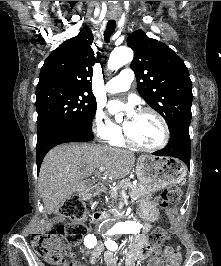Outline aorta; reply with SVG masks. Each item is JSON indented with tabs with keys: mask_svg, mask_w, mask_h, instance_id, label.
I'll list each match as a JSON object with an SVG mask.
<instances>
[{
	"mask_svg": "<svg viewBox=\"0 0 221 266\" xmlns=\"http://www.w3.org/2000/svg\"><path fill=\"white\" fill-rule=\"evenodd\" d=\"M133 58V52L126 46L115 48L108 60V68L110 70H118L123 65L130 62ZM114 233H136L140 229V224L133 220H127L107 227Z\"/></svg>",
	"mask_w": 221,
	"mask_h": 266,
	"instance_id": "762f6f07",
	"label": "aorta"
}]
</instances>
